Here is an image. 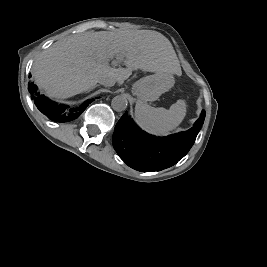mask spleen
I'll list each match as a JSON object with an SVG mask.
<instances>
[{
  "label": "spleen",
  "instance_id": "1",
  "mask_svg": "<svg viewBox=\"0 0 267 267\" xmlns=\"http://www.w3.org/2000/svg\"><path fill=\"white\" fill-rule=\"evenodd\" d=\"M186 115L183 100H178L169 109L154 108L138 101L135 106L136 123L146 132L155 136H166L176 129Z\"/></svg>",
  "mask_w": 267,
  "mask_h": 267
}]
</instances>
